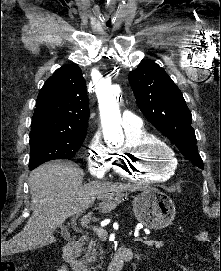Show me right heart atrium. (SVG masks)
Wrapping results in <instances>:
<instances>
[{
	"instance_id": "right-heart-atrium-1",
	"label": "right heart atrium",
	"mask_w": 221,
	"mask_h": 271,
	"mask_svg": "<svg viewBox=\"0 0 221 271\" xmlns=\"http://www.w3.org/2000/svg\"><path fill=\"white\" fill-rule=\"evenodd\" d=\"M87 167L94 170L96 177H105L106 173H112L113 161L118 159V154H112V151H102V146H90Z\"/></svg>"
}]
</instances>
